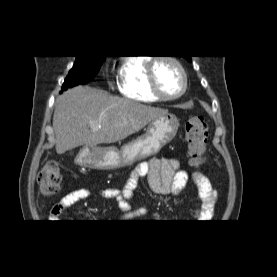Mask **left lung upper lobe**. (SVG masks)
<instances>
[{"label": "left lung upper lobe", "instance_id": "1", "mask_svg": "<svg viewBox=\"0 0 277 277\" xmlns=\"http://www.w3.org/2000/svg\"><path fill=\"white\" fill-rule=\"evenodd\" d=\"M188 61H190L191 62V57L190 56H188V57H185Z\"/></svg>", "mask_w": 277, "mask_h": 277}]
</instances>
